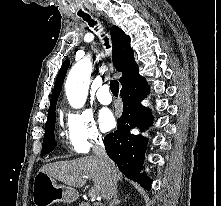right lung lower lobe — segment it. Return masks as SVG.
Instances as JSON below:
<instances>
[{
  "mask_svg": "<svg viewBox=\"0 0 221 206\" xmlns=\"http://www.w3.org/2000/svg\"><path fill=\"white\" fill-rule=\"evenodd\" d=\"M148 93L149 86L139 72L122 84L120 95L124 107L123 114L117 120V130L105 136L104 144L108 156L117 164L120 171L127 178L137 181L142 187L150 190L151 179L145 173L140 174L147 139L130 133L135 127L144 131L152 123L150 109L141 104Z\"/></svg>",
  "mask_w": 221,
  "mask_h": 206,
  "instance_id": "1",
  "label": "right lung lower lobe"
}]
</instances>
